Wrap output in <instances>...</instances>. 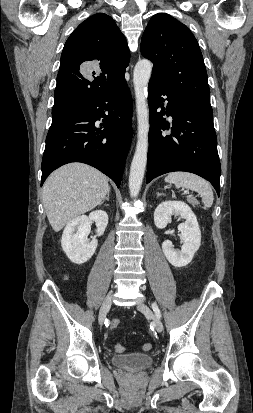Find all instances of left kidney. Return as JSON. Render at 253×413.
Here are the masks:
<instances>
[{"mask_svg":"<svg viewBox=\"0 0 253 413\" xmlns=\"http://www.w3.org/2000/svg\"><path fill=\"white\" fill-rule=\"evenodd\" d=\"M181 216L185 222L179 224L183 245L181 250L174 249L172 242L166 240L162 243V250L171 265L181 268L188 265L201 243V231L197 218L191 208L182 201H163L154 212V222L157 228L163 229L171 222V216Z\"/></svg>","mask_w":253,"mask_h":413,"instance_id":"left-kidney-1","label":"left kidney"}]
</instances>
